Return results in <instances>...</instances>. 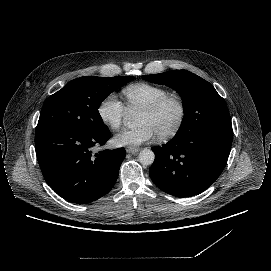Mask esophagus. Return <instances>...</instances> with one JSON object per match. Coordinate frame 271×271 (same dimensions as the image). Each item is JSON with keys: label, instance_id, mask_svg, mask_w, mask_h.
Returning <instances> with one entry per match:
<instances>
[{"label": "esophagus", "instance_id": "34e87169", "mask_svg": "<svg viewBox=\"0 0 271 271\" xmlns=\"http://www.w3.org/2000/svg\"><path fill=\"white\" fill-rule=\"evenodd\" d=\"M139 151H140L139 148H126L127 153H137Z\"/></svg>", "mask_w": 271, "mask_h": 271}]
</instances>
